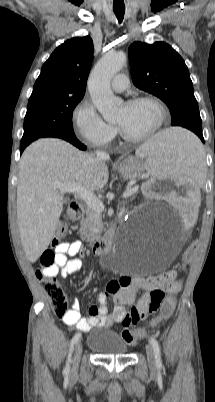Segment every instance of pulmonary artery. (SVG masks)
<instances>
[{
	"instance_id": "pulmonary-artery-1",
	"label": "pulmonary artery",
	"mask_w": 215,
	"mask_h": 402,
	"mask_svg": "<svg viewBox=\"0 0 215 402\" xmlns=\"http://www.w3.org/2000/svg\"><path fill=\"white\" fill-rule=\"evenodd\" d=\"M128 84V77L123 73L117 74L111 82L112 89L116 92L124 91L128 87Z\"/></svg>"
}]
</instances>
